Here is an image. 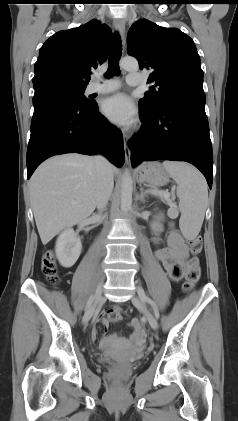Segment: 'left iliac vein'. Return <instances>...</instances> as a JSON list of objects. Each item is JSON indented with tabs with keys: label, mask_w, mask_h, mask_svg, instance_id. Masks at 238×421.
Segmentation results:
<instances>
[{
	"label": "left iliac vein",
	"mask_w": 238,
	"mask_h": 421,
	"mask_svg": "<svg viewBox=\"0 0 238 421\" xmlns=\"http://www.w3.org/2000/svg\"><path fill=\"white\" fill-rule=\"evenodd\" d=\"M131 301L137 308L141 309L144 312L151 328L153 330H156L158 328V322H157L156 318L153 316V314L149 310H147V308L143 304L142 300L137 296H133Z\"/></svg>",
	"instance_id": "4c4485c4"
}]
</instances>
